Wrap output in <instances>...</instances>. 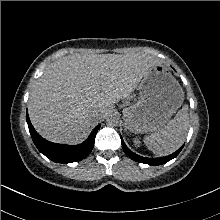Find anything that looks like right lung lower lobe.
Masks as SVG:
<instances>
[{
  "label": "right lung lower lobe",
  "instance_id": "98d812e1",
  "mask_svg": "<svg viewBox=\"0 0 220 220\" xmlns=\"http://www.w3.org/2000/svg\"><path fill=\"white\" fill-rule=\"evenodd\" d=\"M26 120L32 140L38 150L50 160L65 164L82 160L90 154L94 146L95 136L100 128L99 124L94 128L86 141L79 145L70 146L52 143L43 139L33 128L28 113L26 114Z\"/></svg>",
  "mask_w": 220,
  "mask_h": 220
}]
</instances>
